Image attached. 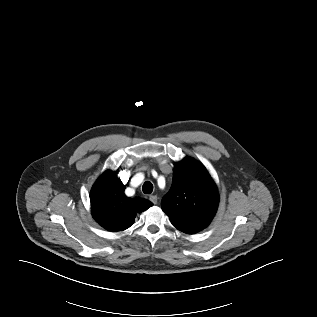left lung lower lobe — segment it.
Masks as SVG:
<instances>
[{
	"label": "left lung lower lobe",
	"instance_id": "0a47b994",
	"mask_svg": "<svg viewBox=\"0 0 317 317\" xmlns=\"http://www.w3.org/2000/svg\"><path fill=\"white\" fill-rule=\"evenodd\" d=\"M181 231H183L184 233H187V234H195V233H197L196 231L191 230V229H182Z\"/></svg>",
	"mask_w": 317,
	"mask_h": 317
}]
</instances>
